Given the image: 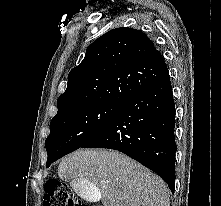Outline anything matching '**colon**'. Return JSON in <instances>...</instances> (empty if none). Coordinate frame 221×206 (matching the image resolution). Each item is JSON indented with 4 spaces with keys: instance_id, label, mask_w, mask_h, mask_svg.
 <instances>
[{
    "instance_id": "obj_1",
    "label": "colon",
    "mask_w": 221,
    "mask_h": 206,
    "mask_svg": "<svg viewBox=\"0 0 221 206\" xmlns=\"http://www.w3.org/2000/svg\"><path fill=\"white\" fill-rule=\"evenodd\" d=\"M43 206H87L65 183L50 179L45 183Z\"/></svg>"
}]
</instances>
